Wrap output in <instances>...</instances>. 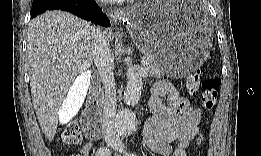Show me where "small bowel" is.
<instances>
[{
	"mask_svg": "<svg viewBox=\"0 0 261 156\" xmlns=\"http://www.w3.org/2000/svg\"><path fill=\"white\" fill-rule=\"evenodd\" d=\"M163 96L167 98L166 105L159 100ZM149 107L153 115L145 126L146 146L159 155L186 156L190 141L198 134L203 112L192 107L167 81L153 86ZM172 144L176 145L174 150ZM91 149L92 144L85 143L80 154L88 156Z\"/></svg>",
	"mask_w": 261,
	"mask_h": 156,
	"instance_id": "small-bowel-1",
	"label": "small bowel"
}]
</instances>
